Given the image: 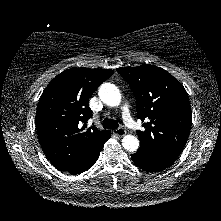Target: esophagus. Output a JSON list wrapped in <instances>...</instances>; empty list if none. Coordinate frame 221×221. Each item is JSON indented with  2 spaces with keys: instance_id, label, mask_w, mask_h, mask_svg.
Here are the masks:
<instances>
[{
  "instance_id": "obj_1",
  "label": "esophagus",
  "mask_w": 221,
  "mask_h": 221,
  "mask_svg": "<svg viewBox=\"0 0 221 221\" xmlns=\"http://www.w3.org/2000/svg\"><path fill=\"white\" fill-rule=\"evenodd\" d=\"M113 134L122 137V136L126 135V130L124 128L120 127L116 130H113Z\"/></svg>"
}]
</instances>
